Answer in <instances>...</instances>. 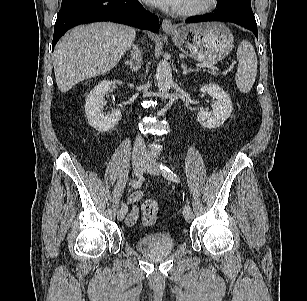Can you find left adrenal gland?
Listing matches in <instances>:
<instances>
[{
  "instance_id": "obj_1",
  "label": "left adrenal gland",
  "mask_w": 307,
  "mask_h": 301,
  "mask_svg": "<svg viewBox=\"0 0 307 301\" xmlns=\"http://www.w3.org/2000/svg\"><path fill=\"white\" fill-rule=\"evenodd\" d=\"M181 67L183 69V74L184 75H187L188 73L195 71V70H193L191 68L188 69L187 66L184 63L181 64Z\"/></svg>"
}]
</instances>
